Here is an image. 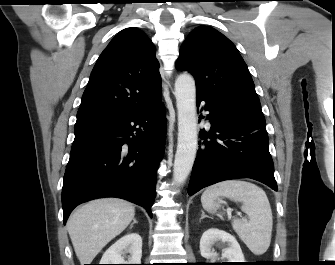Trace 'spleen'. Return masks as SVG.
Wrapping results in <instances>:
<instances>
[{
  "label": "spleen",
  "mask_w": 335,
  "mask_h": 265,
  "mask_svg": "<svg viewBox=\"0 0 335 265\" xmlns=\"http://www.w3.org/2000/svg\"><path fill=\"white\" fill-rule=\"evenodd\" d=\"M221 197L242 203L241 210L249 220L234 219L232 227L253 254H264L270 246L273 226L272 210L264 190L243 180L220 182L203 192V208L215 213L221 207Z\"/></svg>",
  "instance_id": "spleen-1"
}]
</instances>
